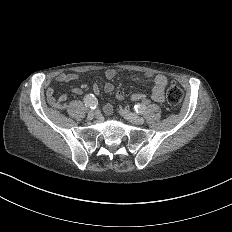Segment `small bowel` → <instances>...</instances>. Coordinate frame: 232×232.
<instances>
[{
  "mask_svg": "<svg viewBox=\"0 0 232 232\" xmlns=\"http://www.w3.org/2000/svg\"><path fill=\"white\" fill-rule=\"evenodd\" d=\"M130 72H134L137 75H142L141 72L138 71H128V70H116V69H107L104 70L102 73V76L105 80H112L113 78H115L118 75H122L125 73H130ZM78 78V74L74 73V72H69V73H60L56 76V80L60 83H66V82H70L73 80H76ZM150 79L153 82V87L150 91V95L153 101L155 102H163L165 100V96H164V87L167 85L168 83V79L164 74L161 73H155L152 74L150 76ZM93 89L95 94H99L100 93V87L97 84V82L93 83ZM68 91L78 94L81 92V88L79 87H71L68 89ZM55 92V88L54 87H48L47 88V94L51 95ZM125 96L124 92H118L117 93V98L118 99H123ZM144 94L143 92L137 91V92H133L131 94V98L132 100H140L143 99ZM103 108L106 112L111 113L113 111V105L109 102L105 103L103 105Z\"/></svg>",
  "mask_w": 232,
  "mask_h": 232,
  "instance_id": "c3829d8e",
  "label": "small bowel"
}]
</instances>
